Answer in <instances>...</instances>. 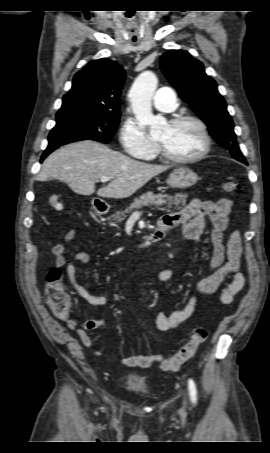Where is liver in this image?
<instances>
[{"mask_svg":"<svg viewBox=\"0 0 270 453\" xmlns=\"http://www.w3.org/2000/svg\"><path fill=\"white\" fill-rule=\"evenodd\" d=\"M168 165H152L134 160L107 146L85 140L59 148L43 162L38 181L57 179L77 194L89 196L101 177L111 182L97 191L103 198L122 199L133 195Z\"/></svg>","mask_w":270,"mask_h":453,"instance_id":"6515ba94","label":"liver"}]
</instances>
